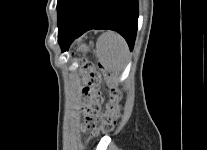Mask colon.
Returning a JSON list of instances; mask_svg holds the SVG:
<instances>
[{
  "mask_svg": "<svg viewBox=\"0 0 207 150\" xmlns=\"http://www.w3.org/2000/svg\"><path fill=\"white\" fill-rule=\"evenodd\" d=\"M102 70L106 79L114 82L115 72L107 66H102ZM81 73L85 79L83 92L87 97V102L83 107V115L86 123L85 128L90 130L92 135L109 132L116 124L120 93L114 90L106 111L103 114H99L101 103L99 75L94 65L86 60L81 63Z\"/></svg>",
  "mask_w": 207,
  "mask_h": 150,
  "instance_id": "5ec220e1",
  "label": "colon"
}]
</instances>
